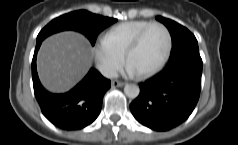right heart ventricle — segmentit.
Segmentation results:
<instances>
[{
	"label": "right heart ventricle",
	"mask_w": 238,
	"mask_h": 145,
	"mask_svg": "<svg viewBox=\"0 0 238 145\" xmlns=\"http://www.w3.org/2000/svg\"><path fill=\"white\" fill-rule=\"evenodd\" d=\"M150 23L148 20H132L117 24L105 33L103 39L124 54L136 35Z\"/></svg>",
	"instance_id": "right-heart-ventricle-1"
}]
</instances>
